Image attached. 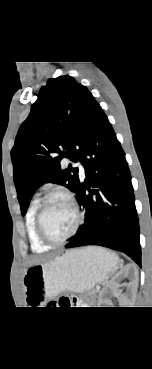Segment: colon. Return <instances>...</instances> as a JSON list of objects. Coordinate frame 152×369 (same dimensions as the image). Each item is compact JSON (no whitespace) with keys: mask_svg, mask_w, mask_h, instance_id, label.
Wrapping results in <instances>:
<instances>
[{"mask_svg":"<svg viewBox=\"0 0 152 369\" xmlns=\"http://www.w3.org/2000/svg\"><path fill=\"white\" fill-rule=\"evenodd\" d=\"M72 304V299L68 295H61L57 301L53 302V306H59V307H70Z\"/></svg>","mask_w":152,"mask_h":369,"instance_id":"1","label":"colon"}]
</instances>
